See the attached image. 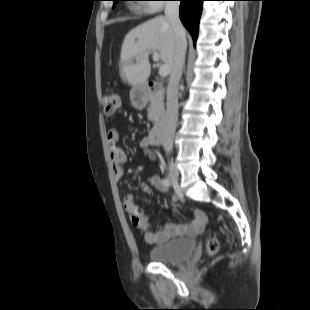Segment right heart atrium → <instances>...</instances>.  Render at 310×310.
<instances>
[{"label":"right heart atrium","instance_id":"obj_1","mask_svg":"<svg viewBox=\"0 0 310 310\" xmlns=\"http://www.w3.org/2000/svg\"><path fill=\"white\" fill-rule=\"evenodd\" d=\"M148 1H152L153 2L152 4H148L146 6V9L148 11L158 12V11L162 10V8H163L162 0H148Z\"/></svg>","mask_w":310,"mask_h":310}]
</instances>
